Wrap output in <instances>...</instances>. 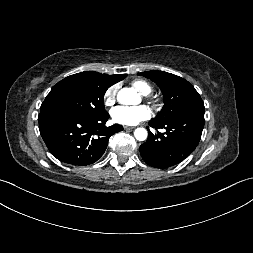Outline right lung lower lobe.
<instances>
[{"instance_id":"obj_1","label":"right lung lower lobe","mask_w":253,"mask_h":253,"mask_svg":"<svg viewBox=\"0 0 253 253\" xmlns=\"http://www.w3.org/2000/svg\"><path fill=\"white\" fill-rule=\"evenodd\" d=\"M106 112L98 117L68 113L39 114L40 134L51 154L62 162L85 166L104 154L109 138L123 130L121 125L104 126Z\"/></svg>"}]
</instances>
